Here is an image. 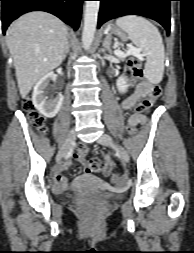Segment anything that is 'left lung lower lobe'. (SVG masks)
<instances>
[{"label": "left lung lower lobe", "mask_w": 194, "mask_h": 253, "mask_svg": "<svg viewBox=\"0 0 194 253\" xmlns=\"http://www.w3.org/2000/svg\"><path fill=\"white\" fill-rule=\"evenodd\" d=\"M98 28L106 21L128 14L148 17L170 32V1L172 0H99Z\"/></svg>", "instance_id": "0a47b994"}]
</instances>
